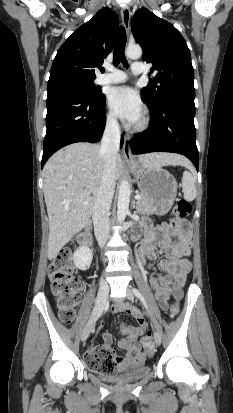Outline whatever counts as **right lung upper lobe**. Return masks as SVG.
I'll list each match as a JSON object with an SVG mask.
<instances>
[{"label":"right lung upper lobe","mask_w":233,"mask_h":413,"mask_svg":"<svg viewBox=\"0 0 233 413\" xmlns=\"http://www.w3.org/2000/svg\"><path fill=\"white\" fill-rule=\"evenodd\" d=\"M118 24V16L111 9L98 11L61 45L49 81L62 77L95 79V68L113 49Z\"/></svg>","instance_id":"right-lung-upper-lobe-1"}]
</instances>
